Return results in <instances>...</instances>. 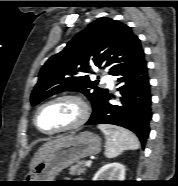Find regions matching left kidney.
Returning a JSON list of instances; mask_svg holds the SVG:
<instances>
[{
    "instance_id": "5707ae66",
    "label": "left kidney",
    "mask_w": 178,
    "mask_h": 186,
    "mask_svg": "<svg viewBox=\"0 0 178 186\" xmlns=\"http://www.w3.org/2000/svg\"><path fill=\"white\" fill-rule=\"evenodd\" d=\"M125 167L120 163H108L102 166L93 177V181H124Z\"/></svg>"
}]
</instances>
